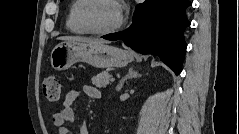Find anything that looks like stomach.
I'll list each match as a JSON object with an SVG mask.
<instances>
[{"label":"stomach","instance_id":"1","mask_svg":"<svg viewBox=\"0 0 239 134\" xmlns=\"http://www.w3.org/2000/svg\"><path fill=\"white\" fill-rule=\"evenodd\" d=\"M133 60L130 52L105 43L62 42L51 52L53 69L66 70L77 62L87 63L95 68H121Z\"/></svg>","mask_w":239,"mask_h":134}]
</instances>
